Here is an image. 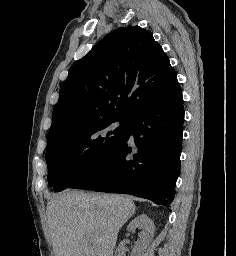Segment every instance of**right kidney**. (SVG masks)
<instances>
[{"instance_id":"1","label":"right kidney","mask_w":236,"mask_h":256,"mask_svg":"<svg viewBox=\"0 0 236 256\" xmlns=\"http://www.w3.org/2000/svg\"><path fill=\"white\" fill-rule=\"evenodd\" d=\"M136 228H141L142 232L139 234L140 240L136 242L131 256H146V252H148L155 234L154 222L146 214H141V216H137V218L130 222L127 230L128 232H135ZM117 252L118 256H123L125 248L122 242Z\"/></svg>"}]
</instances>
